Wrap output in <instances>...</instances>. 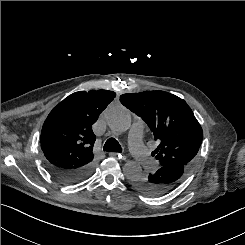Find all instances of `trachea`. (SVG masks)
<instances>
[{"label": "trachea", "instance_id": "trachea-1", "mask_svg": "<svg viewBox=\"0 0 245 245\" xmlns=\"http://www.w3.org/2000/svg\"><path fill=\"white\" fill-rule=\"evenodd\" d=\"M104 151L107 152H122L121 145L115 138H109L104 144Z\"/></svg>", "mask_w": 245, "mask_h": 245}]
</instances>
